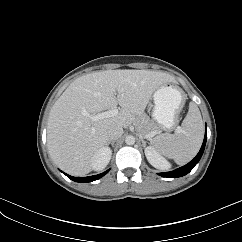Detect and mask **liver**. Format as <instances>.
<instances>
[{
	"label": "liver",
	"instance_id": "obj_1",
	"mask_svg": "<svg viewBox=\"0 0 242 242\" xmlns=\"http://www.w3.org/2000/svg\"><path fill=\"white\" fill-rule=\"evenodd\" d=\"M175 82L164 72L106 70L73 81L53 105L47 126V146L53 161L66 173L84 176L92 170L94 154L109 141L111 126L127 128L144 114L153 93ZM121 107L117 116L92 121L97 115Z\"/></svg>",
	"mask_w": 242,
	"mask_h": 242
}]
</instances>
